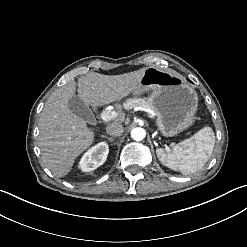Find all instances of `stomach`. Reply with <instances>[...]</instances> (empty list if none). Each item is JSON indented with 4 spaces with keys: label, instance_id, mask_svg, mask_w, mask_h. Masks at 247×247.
Wrapping results in <instances>:
<instances>
[{
    "label": "stomach",
    "instance_id": "obj_1",
    "mask_svg": "<svg viewBox=\"0 0 247 247\" xmlns=\"http://www.w3.org/2000/svg\"><path fill=\"white\" fill-rule=\"evenodd\" d=\"M144 92H151L148 97L150 109L164 136H174L194 124L198 95L182 75L173 70L147 67L133 91L135 95Z\"/></svg>",
    "mask_w": 247,
    "mask_h": 247
}]
</instances>
